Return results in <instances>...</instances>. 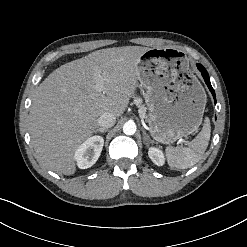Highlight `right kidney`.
Here are the masks:
<instances>
[{
  "label": "right kidney",
  "instance_id": "1",
  "mask_svg": "<svg viewBox=\"0 0 247 247\" xmlns=\"http://www.w3.org/2000/svg\"><path fill=\"white\" fill-rule=\"evenodd\" d=\"M104 139L101 136H93L84 141L75 151L74 158L80 169H87L96 163L102 148Z\"/></svg>",
  "mask_w": 247,
  "mask_h": 247
}]
</instances>
